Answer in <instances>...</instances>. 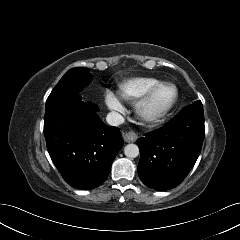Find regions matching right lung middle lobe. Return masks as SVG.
<instances>
[{
    "mask_svg": "<svg viewBox=\"0 0 240 240\" xmlns=\"http://www.w3.org/2000/svg\"><path fill=\"white\" fill-rule=\"evenodd\" d=\"M91 80L92 75L88 68L76 67L70 69L52 90L46 103L78 94Z\"/></svg>",
    "mask_w": 240,
    "mask_h": 240,
    "instance_id": "dd1d6c3e",
    "label": "right lung middle lobe"
}]
</instances>
